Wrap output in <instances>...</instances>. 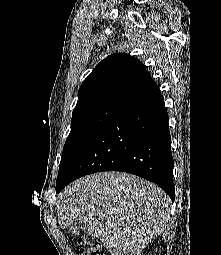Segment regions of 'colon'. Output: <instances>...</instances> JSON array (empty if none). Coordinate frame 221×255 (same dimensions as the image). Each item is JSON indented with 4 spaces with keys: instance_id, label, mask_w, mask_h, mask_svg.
Returning a JSON list of instances; mask_svg holds the SVG:
<instances>
[{
    "instance_id": "5ec220e1",
    "label": "colon",
    "mask_w": 221,
    "mask_h": 255,
    "mask_svg": "<svg viewBox=\"0 0 221 255\" xmlns=\"http://www.w3.org/2000/svg\"><path fill=\"white\" fill-rule=\"evenodd\" d=\"M77 255H105L97 242L81 237L77 240Z\"/></svg>"
}]
</instances>
